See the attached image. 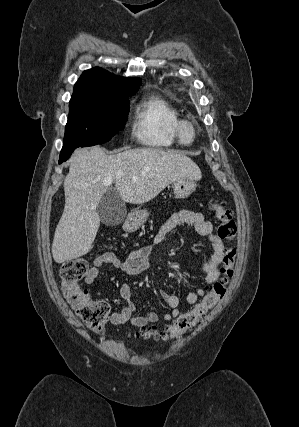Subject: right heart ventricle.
<instances>
[{
  "label": "right heart ventricle",
  "mask_w": 299,
  "mask_h": 427,
  "mask_svg": "<svg viewBox=\"0 0 299 427\" xmlns=\"http://www.w3.org/2000/svg\"><path fill=\"white\" fill-rule=\"evenodd\" d=\"M180 118L177 109L162 96L145 95L135 106L132 130L144 147L166 150L176 145L173 126Z\"/></svg>",
  "instance_id": "obj_1"
}]
</instances>
